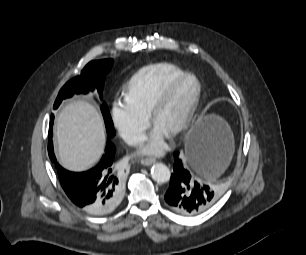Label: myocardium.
<instances>
[{
    "instance_id": "f54148a6",
    "label": "myocardium",
    "mask_w": 306,
    "mask_h": 255,
    "mask_svg": "<svg viewBox=\"0 0 306 255\" xmlns=\"http://www.w3.org/2000/svg\"><path fill=\"white\" fill-rule=\"evenodd\" d=\"M189 80H193L196 84V90L191 98L188 106L185 109V112L180 119V121L173 126L169 133L172 135H178L185 131L189 125L192 122L193 116L197 110V107L199 105L201 95H202V85L200 80L197 78L196 75L191 73H185L175 81H173L154 101L152 104L148 116L149 120L152 124L155 125L156 119L160 113V111L163 109V107L169 102V100L173 97V95L179 90V88L186 83Z\"/></svg>"
}]
</instances>
